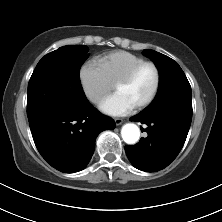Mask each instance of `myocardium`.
<instances>
[{
	"mask_svg": "<svg viewBox=\"0 0 222 222\" xmlns=\"http://www.w3.org/2000/svg\"><path fill=\"white\" fill-rule=\"evenodd\" d=\"M145 67L153 68L155 72V77H156L155 85L149 97L145 101H143L142 103H140L139 105L135 107L136 111H141L147 108L148 106H150L158 95V92L161 86V73L158 66L153 62L144 61L136 65L134 68H132L124 77H122L115 84V89H116L119 86H124L131 83L134 80V78L137 76V74Z\"/></svg>",
	"mask_w": 222,
	"mask_h": 222,
	"instance_id": "obj_1",
	"label": "myocardium"
}]
</instances>
